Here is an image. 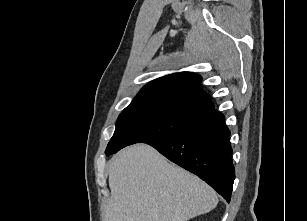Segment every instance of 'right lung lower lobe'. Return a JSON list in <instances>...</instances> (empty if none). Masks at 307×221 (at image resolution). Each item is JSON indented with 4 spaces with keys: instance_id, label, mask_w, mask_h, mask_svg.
Listing matches in <instances>:
<instances>
[{
    "instance_id": "98d812e1",
    "label": "right lung lower lobe",
    "mask_w": 307,
    "mask_h": 221,
    "mask_svg": "<svg viewBox=\"0 0 307 221\" xmlns=\"http://www.w3.org/2000/svg\"><path fill=\"white\" fill-rule=\"evenodd\" d=\"M229 137L224 116L212 109L186 129L147 144L199 176L229 202L235 178Z\"/></svg>"
}]
</instances>
